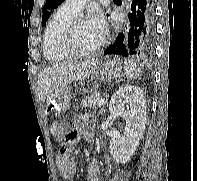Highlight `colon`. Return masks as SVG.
I'll use <instances>...</instances> for the list:
<instances>
[{"instance_id": "obj_1", "label": "colon", "mask_w": 197, "mask_h": 181, "mask_svg": "<svg viewBox=\"0 0 197 181\" xmlns=\"http://www.w3.org/2000/svg\"><path fill=\"white\" fill-rule=\"evenodd\" d=\"M62 127L63 124L60 121H53L50 125V130L53 134H55L56 136H60L62 133ZM67 147L66 146H62V150L66 151Z\"/></svg>"}]
</instances>
